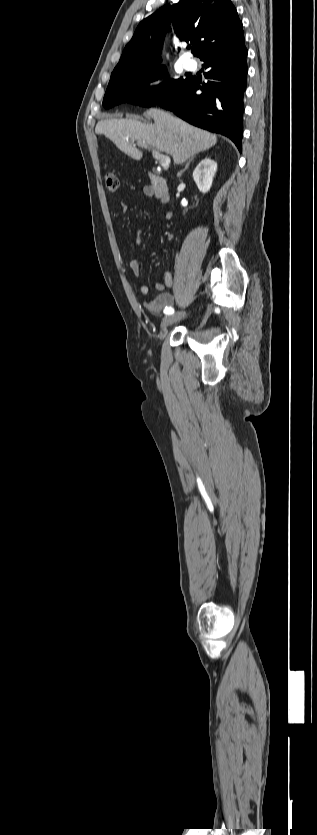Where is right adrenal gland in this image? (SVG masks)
<instances>
[{
    "instance_id": "1",
    "label": "right adrenal gland",
    "mask_w": 317,
    "mask_h": 835,
    "mask_svg": "<svg viewBox=\"0 0 317 835\" xmlns=\"http://www.w3.org/2000/svg\"><path fill=\"white\" fill-rule=\"evenodd\" d=\"M195 157H196V155L192 156V157L188 160V162H187V163H186V165H185V168H184L182 171L178 172V174H177V176H178V177H180V176H181V175H182V174H183V173H184V172L188 169V167H189L190 163L194 160V158H195Z\"/></svg>"
}]
</instances>
